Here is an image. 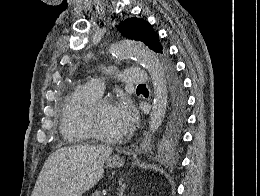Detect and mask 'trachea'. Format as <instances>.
Masks as SVG:
<instances>
[{
	"label": "trachea",
	"mask_w": 260,
	"mask_h": 196,
	"mask_svg": "<svg viewBox=\"0 0 260 196\" xmlns=\"http://www.w3.org/2000/svg\"><path fill=\"white\" fill-rule=\"evenodd\" d=\"M137 88H146L145 84L138 85Z\"/></svg>",
	"instance_id": "3493384b"
}]
</instances>
